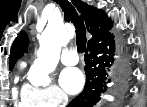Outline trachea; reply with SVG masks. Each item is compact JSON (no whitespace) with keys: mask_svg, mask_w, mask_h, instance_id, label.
<instances>
[{"mask_svg":"<svg viewBox=\"0 0 147 107\" xmlns=\"http://www.w3.org/2000/svg\"><path fill=\"white\" fill-rule=\"evenodd\" d=\"M57 4L64 12V16L67 20L71 21L75 27L76 33V45L78 51L86 50V27L83 19L78 16V13L74 6L68 0H57Z\"/></svg>","mask_w":147,"mask_h":107,"instance_id":"trachea-1","label":"trachea"}]
</instances>
